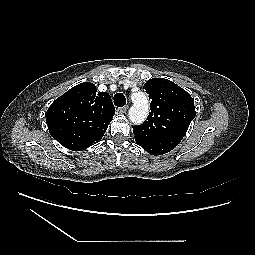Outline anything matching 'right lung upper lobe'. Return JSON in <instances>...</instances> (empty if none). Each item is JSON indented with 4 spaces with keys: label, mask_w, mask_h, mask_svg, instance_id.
Segmentation results:
<instances>
[{
    "label": "right lung upper lobe",
    "mask_w": 255,
    "mask_h": 255,
    "mask_svg": "<svg viewBox=\"0 0 255 255\" xmlns=\"http://www.w3.org/2000/svg\"><path fill=\"white\" fill-rule=\"evenodd\" d=\"M83 82L57 98L46 112L51 136L62 146L82 151L103 137L115 113L111 97Z\"/></svg>",
    "instance_id": "cb5924a9"
}]
</instances>
